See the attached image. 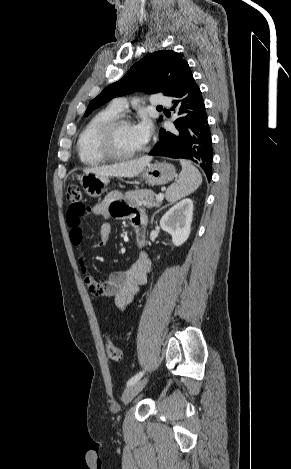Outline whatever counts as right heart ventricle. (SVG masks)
Here are the masks:
<instances>
[{"mask_svg": "<svg viewBox=\"0 0 291 469\" xmlns=\"http://www.w3.org/2000/svg\"><path fill=\"white\" fill-rule=\"evenodd\" d=\"M120 113L113 105H109L95 113L83 127L76 148L78 157L84 165L96 166L108 160L100 150L99 133L108 121Z\"/></svg>", "mask_w": 291, "mask_h": 469, "instance_id": "e07e8e85", "label": "right heart ventricle"}]
</instances>
